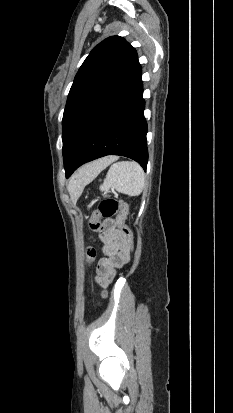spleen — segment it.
<instances>
[{
    "mask_svg": "<svg viewBox=\"0 0 233 413\" xmlns=\"http://www.w3.org/2000/svg\"><path fill=\"white\" fill-rule=\"evenodd\" d=\"M144 186L145 174L142 167L133 161H121L110 166L100 190L104 192L103 196L112 189L133 197L140 195Z\"/></svg>",
    "mask_w": 233,
    "mask_h": 413,
    "instance_id": "3e777b00",
    "label": "spleen"
}]
</instances>
